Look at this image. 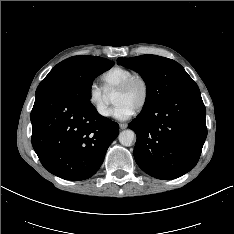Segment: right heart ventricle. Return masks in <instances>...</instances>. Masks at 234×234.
<instances>
[{"instance_id":"obj_1","label":"right heart ventricle","mask_w":234,"mask_h":234,"mask_svg":"<svg viewBox=\"0 0 234 234\" xmlns=\"http://www.w3.org/2000/svg\"><path fill=\"white\" fill-rule=\"evenodd\" d=\"M133 74V71L127 68L119 66L112 67L101 75L102 87L106 92L114 90Z\"/></svg>"}]
</instances>
